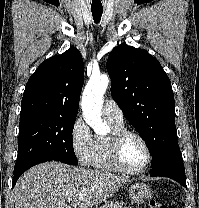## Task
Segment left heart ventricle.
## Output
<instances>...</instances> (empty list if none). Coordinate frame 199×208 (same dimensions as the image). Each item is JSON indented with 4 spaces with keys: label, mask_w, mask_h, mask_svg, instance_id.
<instances>
[{
    "label": "left heart ventricle",
    "mask_w": 199,
    "mask_h": 208,
    "mask_svg": "<svg viewBox=\"0 0 199 208\" xmlns=\"http://www.w3.org/2000/svg\"><path fill=\"white\" fill-rule=\"evenodd\" d=\"M121 157L128 168L137 169L144 164L147 154L140 140L128 136L121 145Z\"/></svg>",
    "instance_id": "b2bd125f"
}]
</instances>
